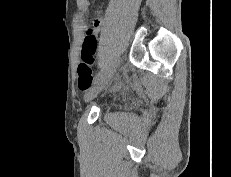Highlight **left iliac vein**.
<instances>
[{"instance_id": "obj_1", "label": "left iliac vein", "mask_w": 231, "mask_h": 177, "mask_svg": "<svg viewBox=\"0 0 231 177\" xmlns=\"http://www.w3.org/2000/svg\"><path fill=\"white\" fill-rule=\"evenodd\" d=\"M118 63L119 60H116L113 66L97 80L96 84L88 92H86V94L84 95V100L86 102H90L91 100H93L100 93V91L108 84V82L113 78Z\"/></svg>"}]
</instances>
